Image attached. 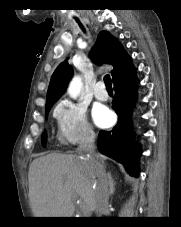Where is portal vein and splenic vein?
<instances>
[{
    "label": "portal vein and splenic vein",
    "mask_w": 181,
    "mask_h": 227,
    "mask_svg": "<svg viewBox=\"0 0 181 227\" xmlns=\"http://www.w3.org/2000/svg\"><path fill=\"white\" fill-rule=\"evenodd\" d=\"M81 208H82L83 210H85V209H86V206H85L84 204H81Z\"/></svg>",
    "instance_id": "portal-vein-and-splenic-vein-1"
}]
</instances>
